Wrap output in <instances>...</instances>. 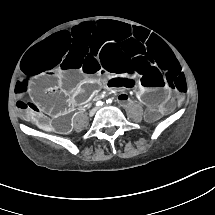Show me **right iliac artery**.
I'll return each instance as SVG.
<instances>
[{"instance_id": "82829eb1", "label": "right iliac artery", "mask_w": 215, "mask_h": 215, "mask_svg": "<svg viewBox=\"0 0 215 215\" xmlns=\"http://www.w3.org/2000/svg\"><path fill=\"white\" fill-rule=\"evenodd\" d=\"M101 105H103V102H101V101H98V102L96 103V106H101Z\"/></svg>"}]
</instances>
